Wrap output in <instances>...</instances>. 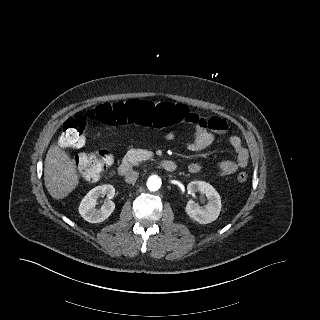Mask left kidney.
<instances>
[{"instance_id":"1","label":"left kidney","mask_w":320,"mask_h":320,"mask_svg":"<svg viewBox=\"0 0 320 320\" xmlns=\"http://www.w3.org/2000/svg\"><path fill=\"white\" fill-rule=\"evenodd\" d=\"M187 190L190 194L200 192L208 200V203L204 206L189 200L185 207L187 215L200 224H208L215 221L221 211V198L215 188L204 181H192L188 184Z\"/></svg>"}]
</instances>
